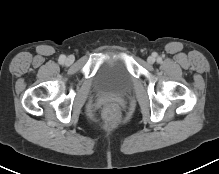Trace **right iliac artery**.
<instances>
[{
  "instance_id": "right-iliac-artery-1",
  "label": "right iliac artery",
  "mask_w": 219,
  "mask_h": 174,
  "mask_svg": "<svg viewBox=\"0 0 219 174\" xmlns=\"http://www.w3.org/2000/svg\"><path fill=\"white\" fill-rule=\"evenodd\" d=\"M65 58L66 57L64 55H61L60 58H59V62L63 63L65 61Z\"/></svg>"
}]
</instances>
